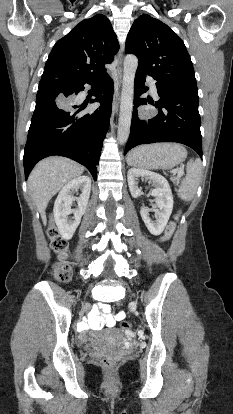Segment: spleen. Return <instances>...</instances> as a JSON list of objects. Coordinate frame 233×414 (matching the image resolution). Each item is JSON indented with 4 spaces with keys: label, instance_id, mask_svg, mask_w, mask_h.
Listing matches in <instances>:
<instances>
[{
    "label": "spleen",
    "instance_id": "3e777b00",
    "mask_svg": "<svg viewBox=\"0 0 233 414\" xmlns=\"http://www.w3.org/2000/svg\"><path fill=\"white\" fill-rule=\"evenodd\" d=\"M135 149H133L128 155L133 154ZM186 172L187 174L185 179L176 190L178 196L184 201L190 200L197 190L202 174L201 160H190L187 163Z\"/></svg>",
    "mask_w": 233,
    "mask_h": 414
}]
</instances>
